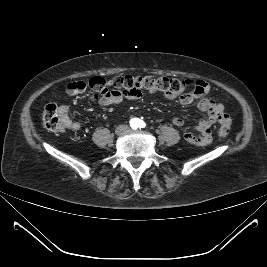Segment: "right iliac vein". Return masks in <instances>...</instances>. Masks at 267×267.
Returning <instances> with one entry per match:
<instances>
[{"label":"right iliac vein","mask_w":267,"mask_h":267,"mask_svg":"<svg viewBox=\"0 0 267 267\" xmlns=\"http://www.w3.org/2000/svg\"><path fill=\"white\" fill-rule=\"evenodd\" d=\"M126 131H127V127H125V126H119V127L116 128V131L115 132H116L117 135H122Z\"/></svg>","instance_id":"1"}]
</instances>
